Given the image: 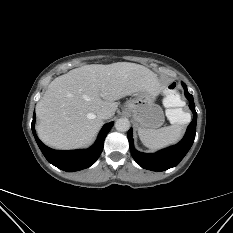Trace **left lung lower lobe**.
I'll return each instance as SVG.
<instances>
[{"mask_svg": "<svg viewBox=\"0 0 233 233\" xmlns=\"http://www.w3.org/2000/svg\"><path fill=\"white\" fill-rule=\"evenodd\" d=\"M185 96L189 100V107L193 112L194 118L189 124L184 138L176 145L158 151L157 153H142L134 148L132 129L128 131V140L131 154L134 160L144 169L152 171H165L169 168L175 167L184 158L191 148L196 133L197 113L193 96L188 92L186 84L182 82Z\"/></svg>", "mask_w": 233, "mask_h": 233, "instance_id": "obj_1", "label": "left lung lower lobe"}]
</instances>
